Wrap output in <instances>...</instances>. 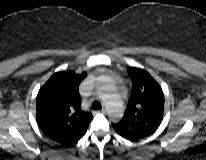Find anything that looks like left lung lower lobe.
Masks as SVG:
<instances>
[{"instance_id": "0a47b994", "label": "left lung lower lobe", "mask_w": 206, "mask_h": 160, "mask_svg": "<svg viewBox=\"0 0 206 160\" xmlns=\"http://www.w3.org/2000/svg\"><path fill=\"white\" fill-rule=\"evenodd\" d=\"M122 137L131 140V141H136L138 140V138L132 137V136H128V135H124V134H120Z\"/></svg>"}]
</instances>
